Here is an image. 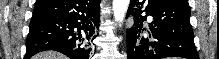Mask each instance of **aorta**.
Masks as SVG:
<instances>
[{
    "label": "aorta",
    "mask_w": 219,
    "mask_h": 59,
    "mask_svg": "<svg viewBox=\"0 0 219 59\" xmlns=\"http://www.w3.org/2000/svg\"><path fill=\"white\" fill-rule=\"evenodd\" d=\"M130 0H113V13L115 21L123 22Z\"/></svg>",
    "instance_id": "aorta-1"
}]
</instances>
